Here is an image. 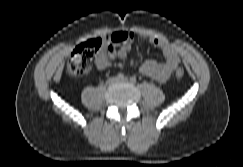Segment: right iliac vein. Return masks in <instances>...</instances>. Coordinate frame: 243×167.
Wrapping results in <instances>:
<instances>
[{
	"label": "right iliac vein",
	"instance_id": "right-iliac-vein-1",
	"mask_svg": "<svg viewBox=\"0 0 243 167\" xmlns=\"http://www.w3.org/2000/svg\"><path fill=\"white\" fill-rule=\"evenodd\" d=\"M117 82V79L116 78H110L108 81H107V84L111 85L113 83Z\"/></svg>",
	"mask_w": 243,
	"mask_h": 167
}]
</instances>
